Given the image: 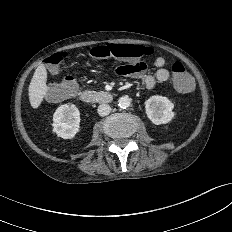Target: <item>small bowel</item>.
I'll return each instance as SVG.
<instances>
[{"mask_svg": "<svg viewBox=\"0 0 232 232\" xmlns=\"http://www.w3.org/2000/svg\"><path fill=\"white\" fill-rule=\"evenodd\" d=\"M154 64L157 67V70L154 74H150L146 71V64L143 62L140 63L137 68L134 66L130 67L126 65L117 67L115 72L118 75L139 78L142 80L147 90H152L156 83H164L170 78V73L165 67L166 61L163 57H156ZM52 73H56V71H53Z\"/></svg>", "mask_w": 232, "mask_h": 232, "instance_id": "obj_1", "label": "small bowel"}]
</instances>
